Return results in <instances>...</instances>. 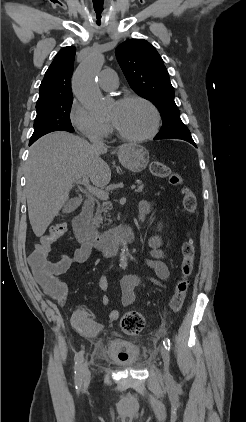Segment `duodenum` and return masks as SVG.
<instances>
[{
	"label": "duodenum",
	"mask_w": 246,
	"mask_h": 422,
	"mask_svg": "<svg viewBox=\"0 0 246 422\" xmlns=\"http://www.w3.org/2000/svg\"><path fill=\"white\" fill-rule=\"evenodd\" d=\"M94 205L93 199L85 200L80 212L73 219V230L81 244L96 249L104 256H111L126 244L134 242L135 234L129 226L99 232L91 223Z\"/></svg>",
	"instance_id": "duodenum-1"
}]
</instances>
